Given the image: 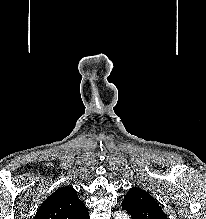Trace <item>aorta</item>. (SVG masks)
I'll return each mask as SVG.
<instances>
[{
	"instance_id": "obj_1",
	"label": "aorta",
	"mask_w": 206,
	"mask_h": 219,
	"mask_svg": "<svg viewBox=\"0 0 206 219\" xmlns=\"http://www.w3.org/2000/svg\"><path fill=\"white\" fill-rule=\"evenodd\" d=\"M114 219H130V217L124 212H119L115 215Z\"/></svg>"
}]
</instances>
